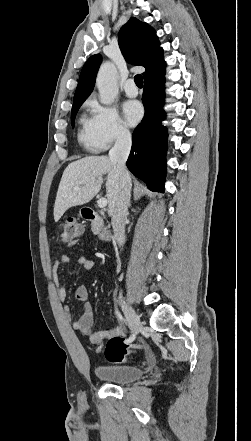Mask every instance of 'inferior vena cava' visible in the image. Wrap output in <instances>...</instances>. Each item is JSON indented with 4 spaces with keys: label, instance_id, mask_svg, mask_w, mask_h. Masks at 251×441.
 Wrapping results in <instances>:
<instances>
[{
    "label": "inferior vena cava",
    "instance_id": "inferior-vena-cava-1",
    "mask_svg": "<svg viewBox=\"0 0 251 441\" xmlns=\"http://www.w3.org/2000/svg\"><path fill=\"white\" fill-rule=\"evenodd\" d=\"M131 134L127 129H120L114 146L109 151V158L116 164L119 171L120 192L112 211V227L114 240L119 247L125 243V219L131 197V178L126 169V161L131 149Z\"/></svg>",
    "mask_w": 251,
    "mask_h": 441
}]
</instances>
